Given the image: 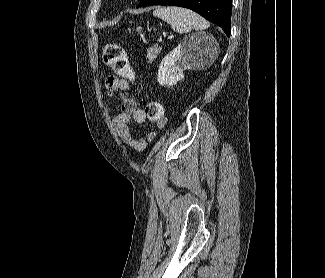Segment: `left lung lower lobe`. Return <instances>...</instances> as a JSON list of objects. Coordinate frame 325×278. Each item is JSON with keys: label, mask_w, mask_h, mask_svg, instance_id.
<instances>
[{"label": "left lung lower lobe", "mask_w": 325, "mask_h": 278, "mask_svg": "<svg viewBox=\"0 0 325 278\" xmlns=\"http://www.w3.org/2000/svg\"><path fill=\"white\" fill-rule=\"evenodd\" d=\"M150 5L180 6L191 9L231 34L232 0H141L137 7Z\"/></svg>", "instance_id": "0a47b994"}]
</instances>
